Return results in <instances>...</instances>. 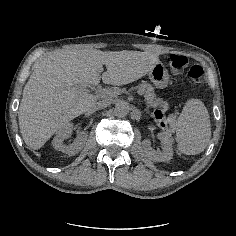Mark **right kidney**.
I'll return each mask as SVG.
<instances>
[{
	"label": "right kidney",
	"mask_w": 236,
	"mask_h": 236,
	"mask_svg": "<svg viewBox=\"0 0 236 236\" xmlns=\"http://www.w3.org/2000/svg\"><path fill=\"white\" fill-rule=\"evenodd\" d=\"M73 124L67 123L62 129H60L52 141L53 147L66 153L68 155H75L79 153L85 146L88 134L86 132H78L77 138L70 145H65L63 141L68 138L72 132Z\"/></svg>",
	"instance_id": "ca27d5eb"
}]
</instances>
